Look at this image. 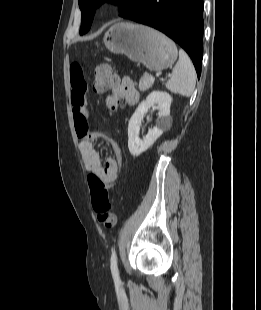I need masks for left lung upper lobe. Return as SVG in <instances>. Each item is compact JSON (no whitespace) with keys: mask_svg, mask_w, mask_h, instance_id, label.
<instances>
[{"mask_svg":"<svg viewBox=\"0 0 261 310\" xmlns=\"http://www.w3.org/2000/svg\"><path fill=\"white\" fill-rule=\"evenodd\" d=\"M105 1H111L118 4L121 8L122 17L131 11L135 2V0H79V7L82 12L80 34H85L89 31L96 8Z\"/></svg>","mask_w":261,"mask_h":310,"instance_id":"5c2ea615","label":"left lung upper lobe"}]
</instances>
